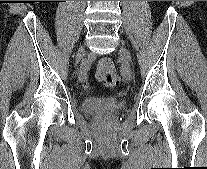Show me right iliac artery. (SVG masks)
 I'll use <instances>...</instances> for the list:
<instances>
[{
	"mask_svg": "<svg viewBox=\"0 0 207 169\" xmlns=\"http://www.w3.org/2000/svg\"><path fill=\"white\" fill-rule=\"evenodd\" d=\"M87 69H88V64L86 63V61H84L82 64L81 75H83V77H85V78H86ZM79 79H80V77H79Z\"/></svg>",
	"mask_w": 207,
	"mask_h": 169,
	"instance_id": "obj_1",
	"label": "right iliac artery"
}]
</instances>
